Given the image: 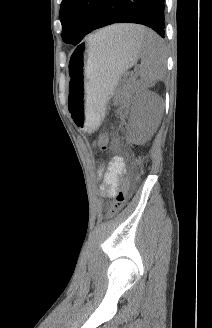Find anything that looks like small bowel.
<instances>
[{"label": "small bowel", "mask_w": 212, "mask_h": 328, "mask_svg": "<svg viewBox=\"0 0 212 328\" xmlns=\"http://www.w3.org/2000/svg\"><path fill=\"white\" fill-rule=\"evenodd\" d=\"M126 171V161L122 156L113 157L109 163L99 170L103 183L102 194L107 198L115 197Z\"/></svg>", "instance_id": "1"}]
</instances>
